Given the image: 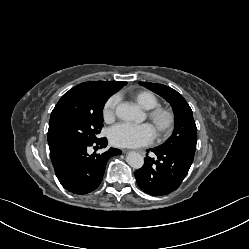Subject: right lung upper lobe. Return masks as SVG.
<instances>
[{"instance_id":"obj_1","label":"right lung upper lobe","mask_w":249,"mask_h":249,"mask_svg":"<svg viewBox=\"0 0 249 249\" xmlns=\"http://www.w3.org/2000/svg\"><path fill=\"white\" fill-rule=\"evenodd\" d=\"M125 85L126 82L120 81H90L81 83L66 92L53 109L50 117L48 143L51 159L63 151L56 137L59 121L71 113L89 109L94 96L105 94L110 97Z\"/></svg>"}]
</instances>
